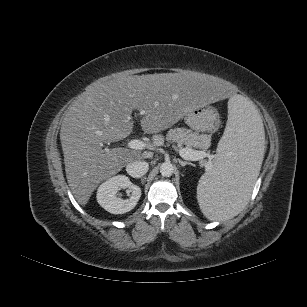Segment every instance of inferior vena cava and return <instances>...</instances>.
Instances as JSON below:
<instances>
[{
    "mask_svg": "<svg viewBox=\"0 0 307 307\" xmlns=\"http://www.w3.org/2000/svg\"><path fill=\"white\" fill-rule=\"evenodd\" d=\"M149 165L145 161H133L126 166L127 173L133 178H140L146 174Z\"/></svg>",
    "mask_w": 307,
    "mask_h": 307,
    "instance_id": "602c4592",
    "label": "inferior vena cava"
}]
</instances>
